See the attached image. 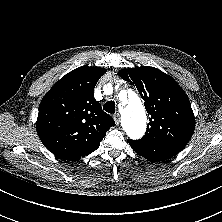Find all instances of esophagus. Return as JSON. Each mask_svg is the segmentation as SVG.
<instances>
[{
	"label": "esophagus",
	"instance_id": "1",
	"mask_svg": "<svg viewBox=\"0 0 222 222\" xmlns=\"http://www.w3.org/2000/svg\"><path fill=\"white\" fill-rule=\"evenodd\" d=\"M113 118H114V121H115L116 125H119V123H120V114L119 113L114 114Z\"/></svg>",
	"mask_w": 222,
	"mask_h": 222
}]
</instances>
